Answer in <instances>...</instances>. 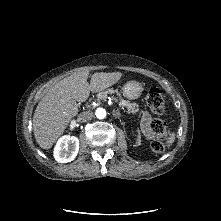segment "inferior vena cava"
Returning <instances> with one entry per match:
<instances>
[{
  "mask_svg": "<svg viewBox=\"0 0 221 221\" xmlns=\"http://www.w3.org/2000/svg\"><path fill=\"white\" fill-rule=\"evenodd\" d=\"M93 112L92 111H85L79 114L78 119L82 122L89 121L93 118Z\"/></svg>",
  "mask_w": 221,
  "mask_h": 221,
  "instance_id": "obj_1",
  "label": "inferior vena cava"
}]
</instances>
